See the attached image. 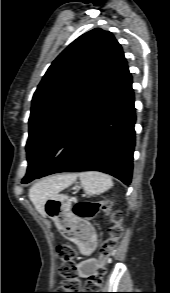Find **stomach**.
<instances>
[{"label": "stomach", "instance_id": "obj_1", "mask_svg": "<svg viewBox=\"0 0 170 293\" xmlns=\"http://www.w3.org/2000/svg\"><path fill=\"white\" fill-rule=\"evenodd\" d=\"M71 185L72 183L65 188H68ZM63 189L53 193L46 199L44 203V212L46 216L51 218L60 229H63L64 232L67 233L68 238L82 243L77 232L71 233L70 231L65 230L66 224L73 219V215L71 212V199L67 195L61 193ZM72 189L75 190L76 186ZM85 232L92 235V232L87 225H85Z\"/></svg>", "mask_w": 170, "mask_h": 293}]
</instances>
